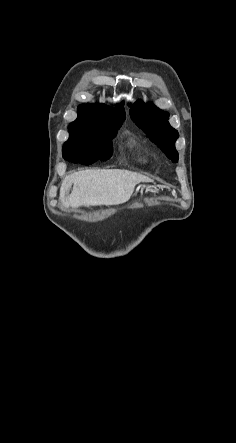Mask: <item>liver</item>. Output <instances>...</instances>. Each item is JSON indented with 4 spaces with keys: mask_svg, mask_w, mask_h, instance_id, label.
<instances>
[{
    "mask_svg": "<svg viewBox=\"0 0 236 443\" xmlns=\"http://www.w3.org/2000/svg\"><path fill=\"white\" fill-rule=\"evenodd\" d=\"M147 176L120 169L84 170L66 176L60 200L66 207L120 205L132 195L137 184L151 182ZM73 184L71 194L66 198Z\"/></svg>",
    "mask_w": 236,
    "mask_h": 443,
    "instance_id": "liver-1",
    "label": "liver"
}]
</instances>
